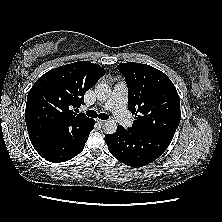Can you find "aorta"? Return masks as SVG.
I'll use <instances>...</instances> for the list:
<instances>
[{
	"label": "aorta",
	"instance_id": "1",
	"mask_svg": "<svg viewBox=\"0 0 222 222\" xmlns=\"http://www.w3.org/2000/svg\"><path fill=\"white\" fill-rule=\"evenodd\" d=\"M95 94L98 100L106 101L111 96V88L106 83H99L95 87ZM106 134H114L117 130V123L114 119H108L103 125Z\"/></svg>",
	"mask_w": 222,
	"mask_h": 222
}]
</instances>
